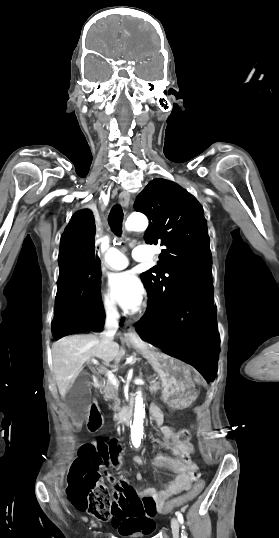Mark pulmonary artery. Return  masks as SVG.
Segmentation results:
<instances>
[{
    "label": "pulmonary artery",
    "instance_id": "1",
    "mask_svg": "<svg viewBox=\"0 0 279 538\" xmlns=\"http://www.w3.org/2000/svg\"><path fill=\"white\" fill-rule=\"evenodd\" d=\"M136 261H141L142 258L138 256L133 257ZM129 264V256L121 250L111 249L108 256L104 259L103 265L109 270H120Z\"/></svg>",
    "mask_w": 279,
    "mask_h": 538
}]
</instances>
